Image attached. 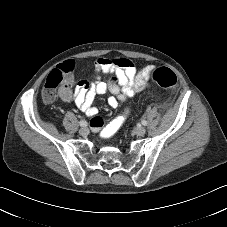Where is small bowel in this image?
I'll return each mask as SVG.
<instances>
[{"label":"small bowel","mask_w":227,"mask_h":227,"mask_svg":"<svg viewBox=\"0 0 227 227\" xmlns=\"http://www.w3.org/2000/svg\"><path fill=\"white\" fill-rule=\"evenodd\" d=\"M60 66L63 67L65 64ZM94 69L95 79L81 80L59 90L60 97L64 101L74 102L89 117L97 115V110L93 106L97 95L109 92L111 96L108 98V103L115 108L119 103L147 89V80L154 67L146 65L137 71L133 62L128 59L100 57L95 61ZM101 75H111V78L108 81H102ZM114 121L106 124L101 121L100 126L95 127L94 131H100L102 135H105Z\"/></svg>","instance_id":"c3829d8e"}]
</instances>
